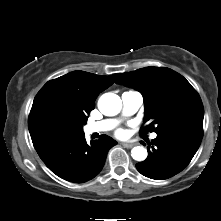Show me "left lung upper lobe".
<instances>
[{"instance_id": "1", "label": "left lung upper lobe", "mask_w": 221, "mask_h": 221, "mask_svg": "<svg viewBox=\"0 0 221 221\" xmlns=\"http://www.w3.org/2000/svg\"><path fill=\"white\" fill-rule=\"evenodd\" d=\"M138 90L144 97L141 132L161 133L176 127L203 128L204 108L200 96L179 73L165 67H146L122 73L116 80Z\"/></svg>"}]
</instances>
